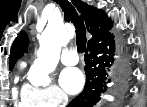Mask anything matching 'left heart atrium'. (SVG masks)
I'll return each instance as SVG.
<instances>
[{
    "label": "left heart atrium",
    "mask_w": 147,
    "mask_h": 107,
    "mask_svg": "<svg viewBox=\"0 0 147 107\" xmlns=\"http://www.w3.org/2000/svg\"><path fill=\"white\" fill-rule=\"evenodd\" d=\"M60 83L67 93L76 94L84 85L83 73L77 68L65 69L61 74Z\"/></svg>",
    "instance_id": "39dd6f15"
}]
</instances>
